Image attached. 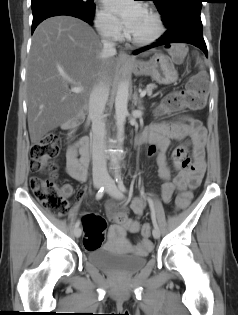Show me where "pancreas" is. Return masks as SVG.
<instances>
[{"label": "pancreas", "mask_w": 238, "mask_h": 315, "mask_svg": "<svg viewBox=\"0 0 238 315\" xmlns=\"http://www.w3.org/2000/svg\"><path fill=\"white\" fill-rule=\"evenodd\" d=\"M155 88H157V86H156L154 83H150V84L147 85L145 91H146L147 94L150 96V95H152V91H153V89H155Z\"/></svg>", "instance_id": "pancreas-1"}]
</instances>
